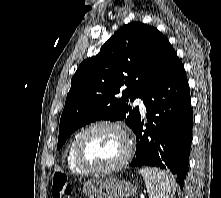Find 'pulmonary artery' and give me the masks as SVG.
Listing matches in <instances>:
<instances>
[{
	"label": "pulmonary artery",
	"mask_w": 221,
	"mask_h": 198,
	"mask_svg": "<svg viewBox=\"0 0 221 198\" xmlns=\"http://www.w3.org/2000/svg\"><path fill=\"white\" fill-rule=\"evenodd\" d=\"M134 103L135 105L139 106L142 113H146V108L141 98H137Z\"/></svg>",
	"instance_id": "pulmonary-artery-1"
}]
</instances>
